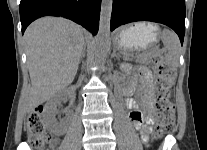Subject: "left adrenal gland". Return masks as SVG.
<instances>
[{
	"label": "left adrenal gland",
	"mask_w": 207,
	"mask_h": 150,
	"mask_svg": "<svg viewBox=\"0 0 207 150\" xmlns=\"http://www.w3.org/2000/svg\"><path fill=\"white\" fill-rule=\"evenodd\" d=\"M112 57H116V59L120 61V55L116 53V49L113 50Z\"/></svg>",
	"instance_id": "a2214340"
}]
</instances>
